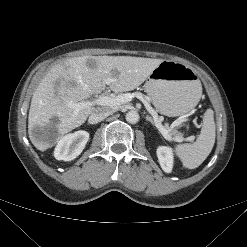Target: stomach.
<instances>
[{"instance_id": "1", "label": "stomach", "mask_w": 247, "mask_h": 247, "mask_svg": "<svg viewBox=\"0 0 247 247\" xmlns=\"http://www.w3.org/2000/svg\"><path fill=\"white\" fill-rule=\"evenodd\" d=\"M144 87L156 109L169 117L189 112L202 94L195 71L171 60H163L148 76Z\"/></svg>"}]
</instances>
